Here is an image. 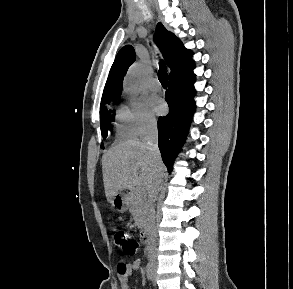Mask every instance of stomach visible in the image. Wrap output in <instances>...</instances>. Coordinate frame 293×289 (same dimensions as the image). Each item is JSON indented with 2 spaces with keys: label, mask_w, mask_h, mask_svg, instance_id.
I'll return each instance as SVG.
<instances>
[{
  "label": "stomach",
  "mask_w": 293,
  "mask_h": 289,
  "mask_svg": "<svg viewBox=\"0 0 293 289\" xmlns=\"http://www.w3.org/2000/svg\"><path fill=\"white\" fill-rule=\"evenodd\" d=\"M111 204L118 212H125L129 206L127 196L122 193L113 196Z\"/></svg>",
  "instance_id": "obj_1"
}]
</instances>
